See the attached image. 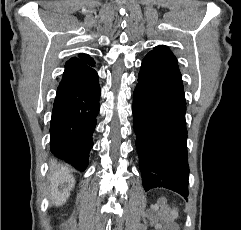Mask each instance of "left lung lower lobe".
Segmentation results:
<instances>
[{
	"label": "left lung lower lobe",
	"mask_w": 241,
	"mask_h": 230,
	"mask_svg": "<svg viewBox=\"0 0 241 230\" xmlns=\"http://www.w3.org/2000/svg\"><path fill=\"white\" fill-rule=\"evenodd\" d=\"M132 110L145 190L163 187L188 196L186 100L177 62L145 56Z\"/></svg>",
	"instance_id": "left-lung-lower-lobe-1"
}]
</instances>
